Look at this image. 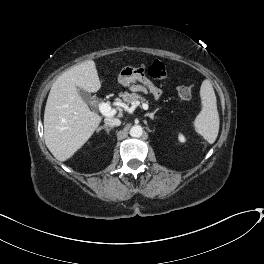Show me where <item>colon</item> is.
Listing matches in <instances>:
<instances>
[{"label": "colon", "mask_w": 264, "mask_h": 264, "mask_svg": "<svg viewBox=\"0 0 264 264\" xmlns=\"http://www.w3.org/2000/svg\"><path fill=\"white\" fill-rule=\"evenodd\" d=\"M149 75L154 79L164 80L168 77V70L165 64L159 60H155L148 69ZM178 96L185 101L192 98L193 90L190 86L180 85L177 88Z\"/></svg>", "instance_id": "colon-1"}]
</instances>
